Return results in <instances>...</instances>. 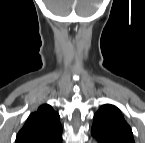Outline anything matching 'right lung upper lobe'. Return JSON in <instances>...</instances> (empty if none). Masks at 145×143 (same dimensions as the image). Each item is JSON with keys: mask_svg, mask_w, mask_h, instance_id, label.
Masks as SVG:
<instances>
[{"mask_svg": "<svg viewBox=\"0 0 145 143\" xmlns=\"http://www.w3.org/2000/svg\"><path fill=\"white\" fill-rule=\"evenodd\" d=\"M16 143H62L59 114L44 104L32 113L19 131Z\"/></svg>", "mask_w": 145, "mask_h": 143, "instance_id": "obj_1", "label": "right lung upper lobe"}]
</instances>
